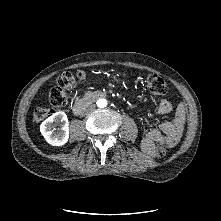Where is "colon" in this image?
Returning a JSON list of instances; mask_svg holds the SVG:
<instances>
[{
    "label": "colon",
    "instance_id": "5ec220e1",
    "mask_svg": "<svg viewBox=\"0 0 221 221\" xmlns=\"http://www.w3.org/2000/svg\"><path fill=\"white\" fill-rule=\"evenodd\" d=\"M83 79V74L80 72L71 73L64 72L62 73L52 89L49 101L52 109L48 108H37L34 111L33 118L35 122H40L50 116L55 109L64 107L68 103L67 91L75 88L78 84L81 83ZM146 89L153 95L159 96L164 95L167 90V84L164 79L158 75H149L145 80ZM173 145V141L170 137H163L160 140V144L154 150V154L157 156H164L167 152V149Z\"/></svg>",
    "mask_w": 221,
    "mask_h": 221
}]
</instances>
